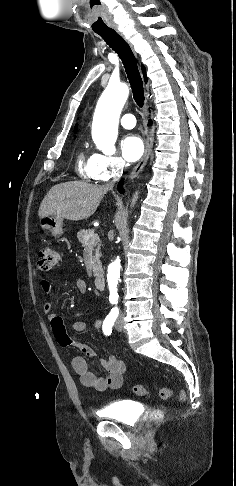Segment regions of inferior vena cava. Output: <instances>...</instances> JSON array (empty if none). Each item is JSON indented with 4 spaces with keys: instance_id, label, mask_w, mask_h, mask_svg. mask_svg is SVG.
<instances>
[{
    "instance_id": "obj_1",
    "label": "inferior vena cava",
    "mask_w": 236,
    "mask_h": 486,
    "mask_svg": "<svg viewBox=\"0 0 236 486\" xmlns=\"http://www.w3.org/2000/svg\"><path fill=\"white\" fill-rule=\"evenodd\" d=\"M124 165H125V161L121 160V161L119 162V164H118V168H117L118 172H119V170H120V173L122 172ZM118 179H119V175H118V174H116V175L114 176V178H113V180H112V181H110L109 183L105 184V187H106L107 189H112V188H113V186H114V183H115V182H116Z\"/></svg>"
}]
</instances>
